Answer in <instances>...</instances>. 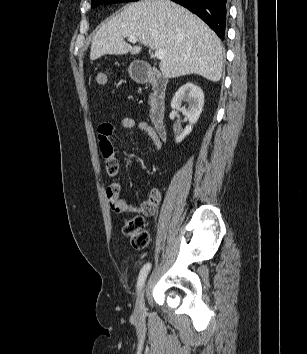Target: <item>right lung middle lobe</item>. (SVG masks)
Returning <instances> with one entry per match:
<instances>
[{
	"label": "right lung middle lobe",
	"mask_w": 307,
	"mask_h": 354,
	"mask_svg": "<svg viewBox=\"0 0 307 354\" xmlns=\"http://www.w3.org/2000/svg\"><path fill=\"white\" fill-rule=\"evenodd\" d=\"M132 1H138V0H92L91 7H97L101 3H118V2H132Z\"/></svg>",
	"instance_id": "dd1d6c3e"
}]
</instances>
